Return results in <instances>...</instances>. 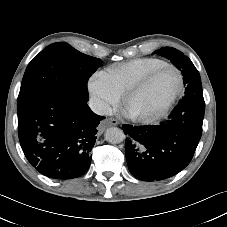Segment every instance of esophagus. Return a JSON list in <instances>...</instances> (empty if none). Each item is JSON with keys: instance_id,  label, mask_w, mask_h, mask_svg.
Wrapping results in <instances>:
<instances>
[{"instance_id": "34e87169", "label": "esophagus", "mask_w": 227, "mask_h": 227, "mask_svg": "<svg viewBox=\"0 0 227 227\" xmlns=\"http://www.w3.org/2000/svg\"><path fill=\"white\" fill-rule=\"evenodd\" d=\"M108 124L112 125V126H117L119 124L118 120L114 119V118H110L108 120Z\"/></svg>"}]
</instances>
